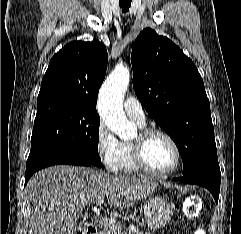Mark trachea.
<instances>
[{
    "instance_id": "3493384b",
    "label": "trachea",
    "mask_w": 241,
    "mask_h": 234,
    "mask_svg": "<svg viewBox=\"0 0 241 234\" xmlns=\"http://www.w3.org/2000/svg\"><path fill=\"white\" fill-rule=\"evenodd\" d=\"M132 0H120V6L123 12H127L129 7L131 6Z\"/></svg>"
}]
</instances>
